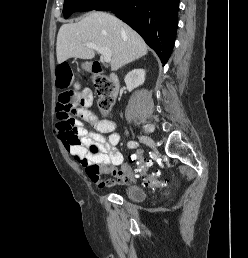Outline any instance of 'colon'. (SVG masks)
Wrapping results in <instances>:
<instances>
[{
  "mask_svg": "<svg viewBox=\"0 0 248 258\" xmlns=\"http://www.w3.org/2000/svg\"><path fill=\"white\" fill-rule=\"evenodd\" d=\"M58 69V85L62 88H68L71 77L69 67L65 64H60ZM92 82L98 95V107L102 113L106 114L113 106V85L109 78L102 74L95 75L92 78ZM78 89L79 85L74 84L72 88L67 89L61 94V99L57 104L58 126H60L61 130L66 133L69 141L73 143L78 142V136L73 124L74 120L72 118L74 106L77 103L76 91ZM89 153L91 156H95L99 153V149L96 144L90 145ZM143 157L141 149L131 152L129 160L130 163L133 164H131L130 173H133V175H140L142 183L147 187L163 186L165 181L159 172L146 173V171H148V163H144ZM86 171L92 179L99 180V170L96 164L86 167Z\"/></svg>",
  "mask_w": 248,
  "mask_h": 258,
  "instance_id": "colon-1",
  "label": "colon"
}]
</instances>
